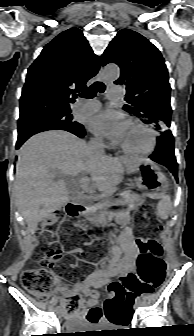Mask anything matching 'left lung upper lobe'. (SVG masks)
<instances>
[{"label": "left lung upper lobe", "mask_w": 194, "mask_h": 336, "mask_svg": "<svg viewBox=\"0 0 194 336\" xmlns=\"http://www.w3.org/2000/svg\"><path fill=\"white\" fill-rule=\"evenodd\" d=\"M116 63L121 75L115 84L127 90L123 109L160 130L170 127V84L160 51L145 37L123 29L111 41L101 64Z\"/></svg>", "instance_id": "obj_1"}]
</instances>
